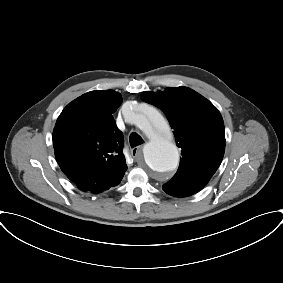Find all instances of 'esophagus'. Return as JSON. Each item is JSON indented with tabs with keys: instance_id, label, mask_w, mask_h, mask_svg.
<instances>
[{
	"instance_id": "34e87169",
	"label": "esophagus",
	"mask_w": 283,
	"mask_h": 283,
	"mask_svg": "<svg viewBox=\"0 0 283 283\" xmlns=\"http://www.w3.org/2000/svg\"><path fill=\"white\" fill-rule=\"evenodd\" d=\"M142 146L134 147L131 149V155L133 158H137L141 154Z\"/></svg>"
}]
</instances>
